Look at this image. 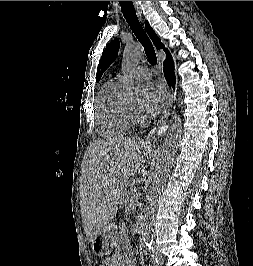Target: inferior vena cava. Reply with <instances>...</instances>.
<instances>
[{"mask_svg": "<svg viewBox=\"0 0 253 266\" xmlns=\"http://www.w3.org/2000/svg\"><path fill=\"white\" fill-rule=\"evenodd\" d=\"M153 257L156 258L159 261L162 259L161 255L158 252H156V251L154 252Z\"/></svg>", "mask_w": 253, "mask_h": 266, "instance_id": "602c4592", "label": "inferior vena cava"}]
</instances>
